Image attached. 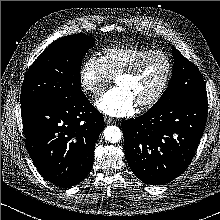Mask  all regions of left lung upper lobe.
Instances as JSON below:
<instances>
[{"mask_svg": "<svg viewBox=\"0 0 220 220\" xmlns=\"http://www.w3.org/2000/svg\"><path fill=\"white\" fill-rule=\"evenodd\" d=\"M174 65L171 81L161 98L152 108L207 97L205 83L199 69L172 46Z\"/></svg>", "mask_w": 220, "mask_h": 220, "instance_id": "5c2ea615", "label": "left lung upper lobe"}]
</instances>
